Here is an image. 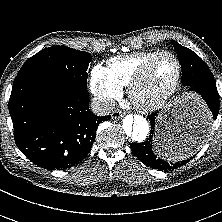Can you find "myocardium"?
<instances>
[{
  "instance_id": "1",
  "label": "myocardium",
  "mask_w": 222,
  "mask_h": 222,
  "mask_svg": "<svg viewBox=\"0 0 222 222\" xmlns=\"http://www.w3.org/2000/svg\"><path fill=\"white\" fill-rule=\"evenodd\" d=\"M168 56L174 59L177 65V72L172 83L158 96L152 100L144 101L139 97V89L148 77L153 65L162 57ZM182 76V64L180 59L172 52L162 51L152 57L135 75L128 87V95L133 104L143 111H152L161 107L167 102L178 88Z\"/></svg>"
}]
</instances>
